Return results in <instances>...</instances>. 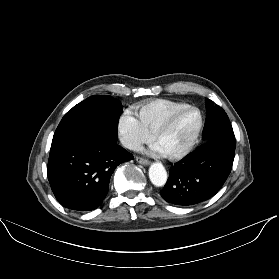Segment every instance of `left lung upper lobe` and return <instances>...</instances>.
<instances>
[{"label":"left lung upper lobe","mask_w":279,"mask_h":279,"mask_svg":"<svg viewBox=\"0 0 279 279\" xmlns=\"http://www.w3.org/2000/svg\"><path fill=\"white\" fill-rule=\"evenodd\" d=\"M206 108L208 114L203 129L204 141L220 139L235 144L234 132L225 111L209 99L206 100Z\"/></svg>","instance_id":"5c2ea615"}]
</instances>
